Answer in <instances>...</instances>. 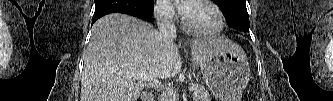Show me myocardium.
Segmentation results:
<instances>
[{"mask_svg": "<svg viewBox=\"0 0 333 101\" xmlns=\"http://www.w3.org/2000/svg\"><path fill=\"white\" fill-rule=\"evenodd\" d=\"M191 2H202V3H205V4L209 5L215 11V13L218 17V24H217V26L214 30L209 31V32L196 31L188 25V23L185 19V16L182 13L181 14V26H182V28L186 32H188V33H190L194 36H197V37H212V36L218 35L223 30L224 25H225L224 15H223L221 9L211 0H195V1H191Z\"/></svg>", "mask_w": 333, "mask_h": 101, "instance_id": "f54148a6", "label": "myocardium"}]
</instances>
